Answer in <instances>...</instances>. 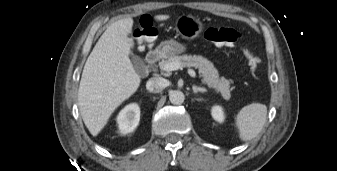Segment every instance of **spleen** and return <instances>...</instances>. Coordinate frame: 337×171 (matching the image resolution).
<instances>
[{"mask_svg": "<svg viewBox=\"0 0 337 171\" xmlns=\"http://www.w3.org/2000/svg\"><path fill=\"white\" fill-rule=\"evenodd\" d=\"M267 117V107L264 104L252 103L243 107L235 118V124L242 141L255 138L262 130Z\"/></svg>", "mask_w": 337, "mask_h": 171, "instance_id": "spleen-1", "label": "spleen"}]
</instances>
